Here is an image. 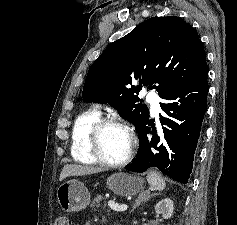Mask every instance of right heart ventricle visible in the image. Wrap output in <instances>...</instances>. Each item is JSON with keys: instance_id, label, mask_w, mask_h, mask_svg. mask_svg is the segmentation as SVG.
<instances>
[{"instance_id": "e07e8e85", "label": "right heart ventricle", "mask_w": 237, "mask_h": 225, "mask_svg": "<svg viewBox=\"0 0 237 225\" xmlns=\"http://www.w3.org/2000/svg\"><path fill=\"white\" fill-rule=\"evenodd\" d=\"M100 116L97 109H88L76 117L71 133V155L75 161L84 164L96 163L89 149L88 134Z\"/></svg>"}]
</instances>
